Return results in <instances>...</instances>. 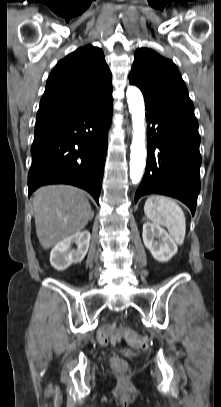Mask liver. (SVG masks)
Returning a JSON list of instances; mask_svg holds the SVG:
<instances>
[{
  "instance_id": "obj_1",
  "label": "liver",
  "mask_w": 221,
  "mask_h": 407,
  "mask_svg": "<svg viewBox=\"0 0 221 407\" xmlns=\"http://www.w3.org/2000/svg\"><path fill=\"white\" fill-rule=\"evenodd\" d=\"M33 209L36 234L44 249L80 232L93 218L84 192L68 185H49L36 190Z\"/></svg>"
}]
</instances>
